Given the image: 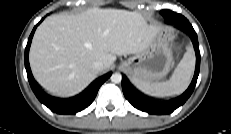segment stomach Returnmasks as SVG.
<instances>
[{"label":"stomach","mask_w":231,"mask_h":134,"mask_svg":"<svg viewBox=\"0 0 231 134\" xmlns=\"http://www.w3.org/2000/svg\"><path fill=\"white\" fill-rule=\"evenodd\" d=\"M173 38L172 29L161 28L144 50L122 62L121 69L132 80L152 83L162 79L173 64V52L170 47Z\"/></svg>","instance_id":"obj_1"}]
</instances>
